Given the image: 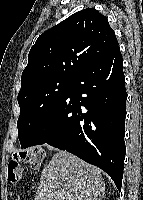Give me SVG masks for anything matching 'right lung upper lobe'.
Masks as SVG:
<instances>
[{"instance_id": "1", "label": "right lung upper lobe", "mask_w": 143, "mask_h": 200, "mask_svg": "<svg viewBox=\"0 0 143 200\" xmlns=\"http://www.w3.org/2000/svg\"><path fill=\"white\" fill-rule=\"evenodd\" d=\"M117 48L104 15L93 8L76 12L38 37L21 76V89L53 77L73 79Z\"/></svg>"}]
</instances>
